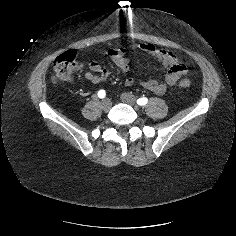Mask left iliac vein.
Here are the masks:
<instances>
[{"label": "left iliac vein", "instance_id": "obj_1", "mask_svg": "<svg viewBox=\"0 0 236 236\" xmlns=\"http://www.w3.org/2000/svg\"><path fill=\"white\" fill-rule=\"evenodd\" d=\"M121 100L129 105H136V98L130 93H123L121 95Z\"/></svg>", "mask_w": 236, "mask_h": 236}]
</instances>
